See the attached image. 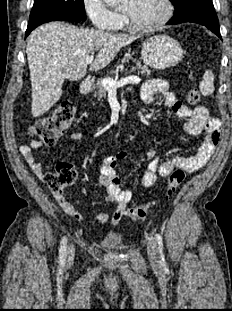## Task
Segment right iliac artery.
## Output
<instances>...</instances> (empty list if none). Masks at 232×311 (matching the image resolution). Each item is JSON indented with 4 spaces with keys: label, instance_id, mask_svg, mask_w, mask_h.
<instances>
[{
    "label": "right iliac artery",
    "instance_id": "right-iliac-artery-1",
    "mask_svg": "<svg viewBox=\"0 0 232 311\" xmlns=\"http://www.w3.org/2000/svg\"><path fill=\"white\" fill-rule=\"evenodd\" d=\"M66 245H67V238L63 237L61 241L60 250H59V262L61 264H63L65 261Z\"/></svg>",
    "mask_w": 232,
    "mask_h": 311
}]
</instances>
